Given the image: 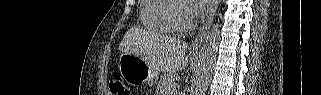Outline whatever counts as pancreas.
<instances>
[{"label":"pancreas","mask_w":321,"mask_h":95,"mask_svg":"<svg viewBox=\"0 0 321 95\" xmlns=\"http://www.w3.org/2000/svg\"><path fill=\"white\" fill-rule=\"evenodd\" d=\"M176 74L173 72L164 74L157 84L158 95H167L168 92H173L177 88L175 81Z\"/></svg>","instance_id":"cf45deb5"}]
</instances>
